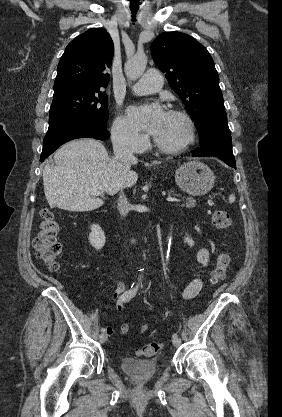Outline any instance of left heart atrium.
<instances>
[{
    "mask_svg": "<svg viewBox=\"0 0 282 417\" xmlns=\"http://www.w3.org/2000/svg\"><path fill=\"white\" fill-rule=\"evenodd\" d=\"M164 113L158 106L134 107L129 111V121L136 127L156 134L162 124Z\"/></svg>",
    "mask_w": 282,
    "mask_h": 417,
    "instance_id": "left-heart-atrium-1",
    "label": "left heart atrium"
}]
</instances>
